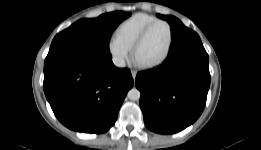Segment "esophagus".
Here are the masks:
<instances>
[{
	"label": "esophagus",
	"mask_w": 261,
	"mask_h": 150,
	"mask_svg": "<svg viewBox=\"0 0 261 150\" xmlns=\"http://www.w3.org/2000/svg\"><path fill=\"white\" fill-rule=\"evenodd\" d=\"M131 74H132L133 79L135 80L136 75H137V71L132 70V71H131Z\"/></svg>",
	"instance_id": "esophagus-1"
}]
</instances>
